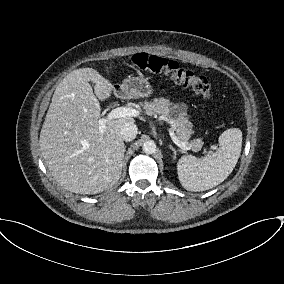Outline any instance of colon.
I'll return each instance as SVG.
<instances>
[{"instance_id": "1", "label": "colon", "mask_w": 284, "mask_h": 284, "mask_svg": "<svg viewBox=\"0 0 284 284\" xmlns=\"http://www.w3.org/2000/svg\"><path fill=\"white\" fill-rule=\"evenodd\" d=\"M132 61L141 71L166 73L176 83L190 87L195 93L205 98H210L212 95V86L206 77L181 68L174 60L147 53H138L133 56Z\"/></svg>"}]
</instances>
